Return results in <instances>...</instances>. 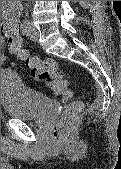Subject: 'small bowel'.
I'll list each match as a JSON object with an SVG mask.
<instances>
[{"instance_id":"c3829d8e","label":"small bowel","mask_w":121,"mask_h":169,"mask_svg":"<svg viewBox=\"0 0 121 169\" xmlns=\"http://www.w3.org/2000/svg\"><path fill=\"white\" fill-rule=\"evenodd\" d=\"M20 11L21 8L17 1H2L1 32L3 36L6 31L14 30L18 32V17ZM2 61H6V57H3Z\"/></svg>"}]
</instances>
